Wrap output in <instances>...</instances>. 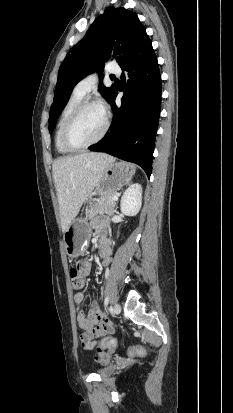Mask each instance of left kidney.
<instances>
[{
  "label": "left kidney",
  "instance_id": "obj_1",
  "mask_svg": "<svg viewBox=\"0 0 233 413\" xmlns=\"http://www.w3.org/2000/svg\"><path fill=\"white\" fill-rule=\"evenodd\" d=\"M142 205V187L132 184L123 194L120 202L121 212L126 216H135Z\"/></svg>",
  "mask_w": 233,
  "mask_h": 413
}]
</instances>
